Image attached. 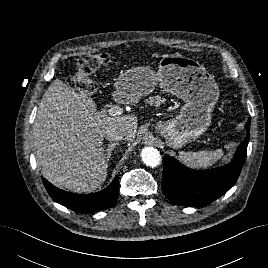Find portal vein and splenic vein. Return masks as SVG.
Returning <instances> with one entry per match:
<instances>
[{"instance_id":"1","label":"portal vein and splenic vein","mask_w":268,"mask_h":268,"mask_svg":"<svg viewBox=\"0 0 268 268\" xmlns=\"http://www.w3.org/2000/svg\"><path fill=\"white\" fill-rule=\"evenodd\" d=\"M107 111H108L109 115L114 116V117L120 116L123 114V108H121L120 106H117V105L111 106Z\"/></svg>"}]
</instances>
